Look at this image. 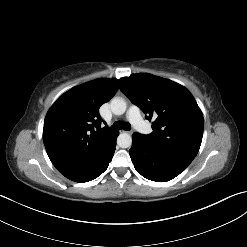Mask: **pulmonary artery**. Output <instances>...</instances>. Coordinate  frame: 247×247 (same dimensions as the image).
I'll return each mask as SVG.
<instances>
[{
	"mask_svg": "<svg viewBox=\"0 0 247 247\" xmlns=\"http://www.w3.org/2000/svg\"><path fill=\"white\" fill-rule=\"evenodd\" d=\"M127 118L136 130L142 133H148L150 131V127L144 122L141 117L140 110L136 106L129 108Z\"/></svg>",
	"mask_w": 247,
	"mask_h": 247,
	"instance_id": "obj_1",
	"label": "pulmonary artery"
}]
</instances>
